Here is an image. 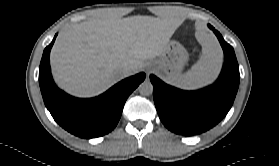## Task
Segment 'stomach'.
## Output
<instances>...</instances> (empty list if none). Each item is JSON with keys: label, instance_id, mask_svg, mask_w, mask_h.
Wrapping results in <instances>:
<instances>
[{"label": "stomach", "instance_id": "1", "mask_svg": "<svg viewBox=\"0 0 279 166\" xmlns=\"http://www.w3.org/2000/svg\"><path fill=\"white\" fill-rule=\"evenodd\" d=\"M188 53L177 41H169L164 51L153 61L157 70L166 74L169 81L179 75L188 61Z\"/></svg>", "mask_w": 279, "mask_h": 166}]
</instances>
